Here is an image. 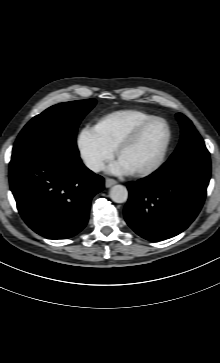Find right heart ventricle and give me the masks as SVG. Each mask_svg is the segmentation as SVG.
<instances>
[{"mask_svg":"<svg viewBox=\"0 0 220 363\" xmlns=\"http://www.w3.org/2000/svg\"><path fill=\"white\" fill-rule=\"evenodd\" d=\"M154 116L136 109H124L101 117L95 129L101 138L112 148L134 127Z\"/></svg>","mask_w":220,"mask_h":363,"instance_id":"right-heart-ventricle-1","label":"right heart ventricle"}]
</instances>
